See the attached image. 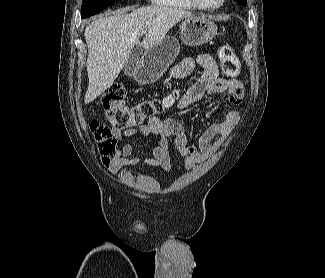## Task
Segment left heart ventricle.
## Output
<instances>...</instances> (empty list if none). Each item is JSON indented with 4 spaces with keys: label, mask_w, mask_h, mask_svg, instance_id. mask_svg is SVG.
Instances as JSON below:
<instances>
[{
    "label": "left heart ventricle",
    "mask_w": 325,
    "mask_h": 278,
    "mask_svg": "<svg viewBox=\"0 0 325 278\" xmlns=\"http://www.w3.org/2000/svg\"><path fill=\"white\" fill-rule=\"evenodd\" d=\"M202 4L206 6H215L219 4L221 0H200Z\"/></svg>",
    "instance_id": "left-heart-ventricle-1"
}]
</instances>
